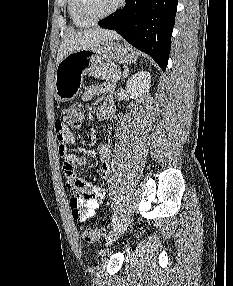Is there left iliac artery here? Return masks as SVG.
<instances>
[{
    "instance_id": "1",
    "label": "left iliac artery",
    "mask_w": 233,
    "mask_h": 286,
    "mask_svg": "<svg viewBox=\"0 0 233 286\" xmlns=\"http://www.w3.org/2000/svg\"><path fill=\"white\" fill-rule=\"evenodd\" d=\"M116 222H117V215L114 214L111 218V226H114V224H116Z\"/></svg>"
}]
</instances>
